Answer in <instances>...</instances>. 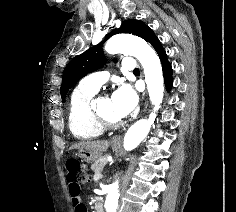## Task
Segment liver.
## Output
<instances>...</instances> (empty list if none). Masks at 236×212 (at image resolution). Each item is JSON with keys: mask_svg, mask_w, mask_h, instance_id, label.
Masks as SVG:
<instances>
[{"mask_svg": "<svg viewBox=\"0 0 236 212\" xmlns=\"http://www.w3.org/2000/svg\"><path fill=\"white\" fill-rule=\"evenodd\" d=\"M109 147V142L107 140H97V141H81L70 147V149H84L95 155H100L105 152Z\"/></svg>", "mask_w": 236, "mask_h": 212, "instance_id": "6515ba94", "label": "liver"}]
</instances>
